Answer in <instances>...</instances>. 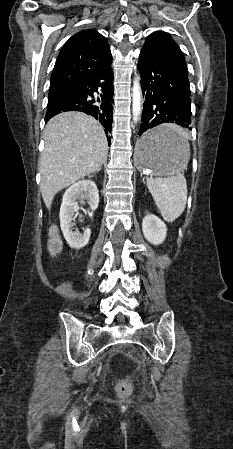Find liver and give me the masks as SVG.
<instances>
[{
	"mask_svg": "<svg viewBox=\"0 0 233 449\" xmlns=\"http://www.w3.org/2000/svg\"><path fill=\"white\" fill-rule=\"evenodd\" d=\"M39 159L40 191L46 207L54 196L81 178L101 169L108 153L102 125L82 112H64L50 119Z\"/></svg>",
	"mask_w": 233,
	"mask_h": 449,
	"instance_id": "1",
	"label": "liver"
}]
</instances>
